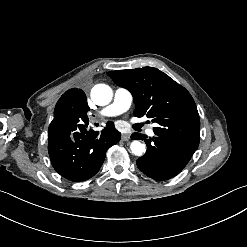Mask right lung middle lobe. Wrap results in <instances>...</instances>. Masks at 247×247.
I'll return each mask as SVG.
<instances>
[{
    "instance_id": "obj_1",
    "label": "right lung middle lobe",
    "mask_w": 247,
    "mask_h": 247,
    "mask_svg": "<svg viewBox=\"0 0 247 247\" xmlns=\"http://www.w3.org/2000/svg\"><path fill=\"white\" fill-rule=\"evenodd\" d=\"M90 110L85 93L78 88L66 91L58 100L54 119L49 126L48 135H63L79 123L88 120Z\"/></svg>"
}]
</instances>
